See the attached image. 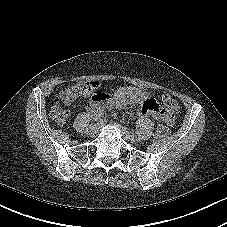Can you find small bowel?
Returning a JSON list of instances; mask_svg holds the SVG:
<instances>
[{
	"instance_id": "1",
	"label": "small bowel",
	"mask_w": 227,
	"mask_h": 227,
	"mask_svg": "<svg viewBox=\"0 0 227 227\" xmlns=\"http://www.w3.org/2000/svg\"><path fill=\"white\" fill-rule=\"evenodd\" d=\"M130 104H138L140 106L139 115L141 117L150 115L158 121L165 122L169 120L167 114L150 94L135 87H122L117 89L112 97L92 99L88 109L92 116H94L95 114L102 113L107 107L115 106L123 109Z\"/></svg>"
}]
</instances>
